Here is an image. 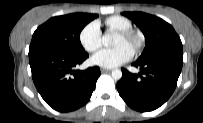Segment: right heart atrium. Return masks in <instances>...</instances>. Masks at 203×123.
I'll return each mask as SVG.
<instances>
[{
  "mask_svg": "<svg viewBox=\"0 0 203 123\" xmlns=\"http://www.w3.org/2000/svg\"><path fill=\"white\" fill-rule=\"evenodd\" d=\"M79 40L88 52H95L102 44L101 30L97 21L88 23L80 32Z\"/></svg>",
  "mask_w": 203,
  "mask_h": 123,
  "instance_id": "d8ad5b80",
  "label": "right heart atrium"
}]
</instances>
